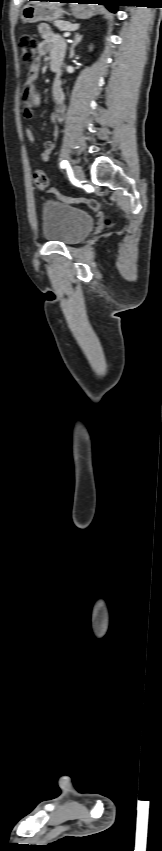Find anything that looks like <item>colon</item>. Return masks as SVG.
Wrapping results in <instances>:
<instances>
[{
	"label": "colon",
	"instance_id": "5ec220e1",
	"mask_svg": "<svg viewBox=\"0 0 162 851\" xmlns=\"http://www.w3.org/2000/svg\"><path fill=\"white\" fill-rule=\"evenodd\" d=\"M19 48L23 62L30 68L36 60L35 56L38 50V43L35 36L31 33H23L19 39ZM33 180L38 189L54 195L64 203L71 205H82L92 210H97L99 208V203L94 199H73L60 194L56 188L50 187L49 178L43 170H36L33 174Z\"/></svg>",
	"mask_w": 162,
	"mask_h": 851
}]
</instances>
